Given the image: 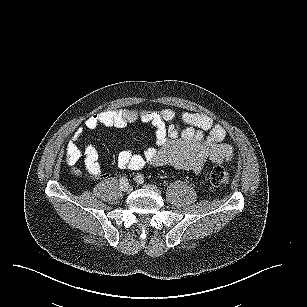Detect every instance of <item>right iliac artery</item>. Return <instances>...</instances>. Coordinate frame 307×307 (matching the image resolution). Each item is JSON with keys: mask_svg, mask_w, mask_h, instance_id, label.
<instances>
[{"mask_svg": "<svg viewBox=\"0 0 307 307\" xmlns=\"http://www.w3.org/2000/svg\"><path fill=\"white\" fill-rule=\"evenodd\" d=\"M128 180H127V178H125V177H123V178H121V180H120V187L121 188H124V187H126V186H128Z\"/></svg>", "mask_w": 307, "mask_h": 307, "instance_id": "82829eb1", "label": "right iliac artery"}]
</instances>
